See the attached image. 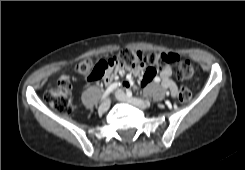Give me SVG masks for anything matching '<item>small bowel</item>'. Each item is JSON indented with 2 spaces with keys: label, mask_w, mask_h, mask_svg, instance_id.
<instances>
[{
  "label": "small bowel",
  "mask_w": 245,
  "mask_h": 170,
  "mask_svg": "<svg viewBox=\"0 0 245 170\" xmlns=\"http://www.w3.org/2000/svg\"><path fill=\"white\" fill-rule=\"evenodd\" d=\"M140 73L139 70L132 71V75L137 76ZM125 74L124 68L116 67L114 69H110L104 75V82L106 84L112 83L117 76H122ZM152 79V75L150 71H145L142 78H141V85L147 86ZM159 82L161 83L162 87L168 91L172 98H176L178 94V87L176 82L173 80L172 77V69L170 67H164L159 75ZM125 88L132 86V81L130 76L127 77L126 81L122 84Z\"/></svg>",
  "instance_id": "1"
}]
</instances>
